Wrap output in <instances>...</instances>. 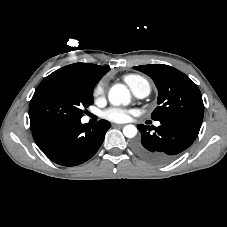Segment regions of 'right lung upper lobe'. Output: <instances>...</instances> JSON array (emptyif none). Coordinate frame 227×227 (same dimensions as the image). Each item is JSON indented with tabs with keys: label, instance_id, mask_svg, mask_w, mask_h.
<instances>
[{
	"label": "right lung upper lobe",
	"instance_id": "1",
	"mask_svg": "<svg viewBox=\"0 0 227 227\" xmlns=\"http://www.w3.org/2000/svg\"><path fill=\"white\" fill-rule=\"evenodd\" d=\"M109 67L96 64L74 63L56 70L53 74L76 79L87 85L95 86L101 77L108 72Z\"/></svg>",
	"mask_w": 227,
	"mask_h": 227
}]
</instances>
